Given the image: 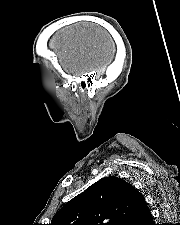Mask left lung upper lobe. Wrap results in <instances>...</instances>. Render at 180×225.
<instances>
[{
	"label": "left lung upper lobe",
	"mask_w": 180,
	"mask_h": 225,
	"mask_svg": "<svg viewBox=\"0 0 180 225\" xmlns=\"http://www.w3.org/2000/svg\"><path fill=\"white\" fill-rule=\"evenodd\" d=\"M145 207L144 197L131 184L110 176L66 203L50 225H125Z\"/></svg>",
	"instance_id": "5c2ea615"
}]
</instances>
